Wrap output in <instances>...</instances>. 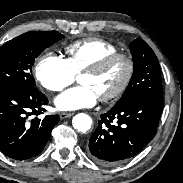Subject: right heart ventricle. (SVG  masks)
Segmentation results:
<instances>
[{
	"instance_id": "1",
	"label": "right heart ventricle",
	"mask_w": 183,
	"mask_h": 183,
	"mask_svg": "<svg viewBox=\"0 0 183 183\" xmlns=\"http://www.w3.org/2000/svg\"><path fill=\"white\" fill-rule=\"evenodd\" d=\"M118 52V47L104 39L86 38L65 48V60L76 75L99 60Z\"/></svg>"
}]
</instances>
